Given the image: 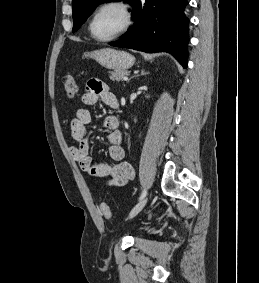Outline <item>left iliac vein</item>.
<instances>
[{"label":"left iliac vein","instance_id":"left-iliac-vein-1","mask_svg":"<svg viewBox=\"0 0 259 283\" xmlns=\"http://www.w3.org/2000/svg\"><path fill=\"white\" fill-rule=\"evenodd\" d=\"M147 200V197L141 199L130 211L129 218L135 217L145 207Z\"/></svg>","mask_w":259,"mask_h":283}]
</instances>
